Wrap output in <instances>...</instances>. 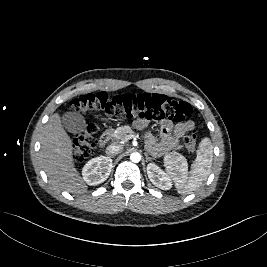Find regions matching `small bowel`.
I'll return each mask as SVG.
<instances>
[{
  "label": "small bowel",
  "instance_id": "c3829d8e",
  "mask_svg": "<svg viewBox=\"0 0 267 267\" xmlns=\"http://www.w3.org/2000/svg\"><path fill=\"white\" fill-rule=\"evenodd\" d=\"M134 126L137 129H144L147 126L146 120H136ZM194 129L192 121L172 124L168 121L160 123V133L155 137L152 133H147L146 143L152 153H165L180 150L183 147L185 136Z\"/></svg>",
  "mask_w": 267,
  "mask_h": 267
}]
</instances>
